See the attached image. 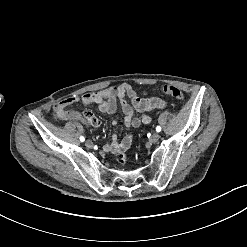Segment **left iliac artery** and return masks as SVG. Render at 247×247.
Wrapping results in <instances>:
<instances>
[{"label": "left iliac artery", "mask_w": 247, "mask_h": 247, "mask_svg": "<svg viewBox=\"0 0 247 247\" xmlns=\"http://www.w3.org/2000/svg\"><path fill=\"white\" fill-rule=\"evenodd\" d=\"M156 131H157V132H160V131H161V127H160V126H157V127H156Z\"/></svg>", "instance_id": "obj_1"}]
</instances>
